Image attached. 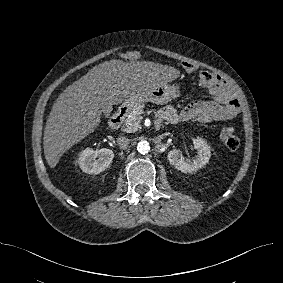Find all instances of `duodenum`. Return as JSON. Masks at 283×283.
<instances>
[{
	"mask_svg": "<svg viewBox=\"0 0 283 283\" xmlns=\"http://www.w3.org/2000/svg\"><path fill=\"white\" fill-rule=\"evenodd\" d=\"M127 104H123L120 106L117 111L111 116L109 120V125L112 128H118L123 122L126 113H127ZM162 120L159 117H156V127L159 128L161 126Z\"/></svg>",
	"mask_w": 283,
	"mask_h": 283,
	"instance_id": "duodenum-1",
	"label": "duodenum"
}]
</instances>
